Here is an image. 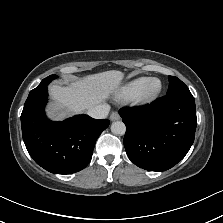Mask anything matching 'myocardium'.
<instances>
[{"instance_id":"1","label":"myocardium","mask_w":223,"mask_h":223,"mask_svg":"<svg viewBox=\"0 0 223 223\" xmlns=\"http://www.w3.org/2000/svg\"><path fill=\"white\" fill-rule=\"evenodd\" d=\"M155 84L153 88L150 87L151 84ZM162 90L161 80L157 77H147L145 78L138 91L132 97V100L136 103H148L154 101Z\"/></svg>"}]
</instances>
